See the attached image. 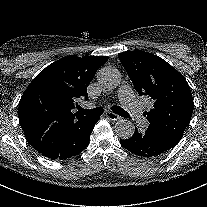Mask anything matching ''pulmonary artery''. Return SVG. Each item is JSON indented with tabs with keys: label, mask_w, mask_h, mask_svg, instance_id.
<instances>
[{
	"label": "pulmonary artery",
	"mask_w": 207,
	"mask_h": 207,
	"mask_svg": "<svg viewBox=\"0 0 207 207\" xmlns=\"http://www.w3.org/2000/svg\"><path fill=\"white\" fill-rule=\"evenodd\" d=\"M120 97L126 105L132 122L135 124L142 123L144 120V115L133 91L129 88H124L120 92Z\"/></svg>",
	"instance_id": "1"
}]
</instances>
